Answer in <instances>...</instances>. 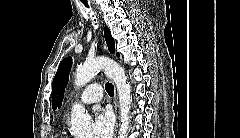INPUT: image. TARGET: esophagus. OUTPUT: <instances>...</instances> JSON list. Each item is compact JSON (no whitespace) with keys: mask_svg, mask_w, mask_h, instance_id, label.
I'll use <instances>...</instances> for the list:
<instances>
[{"mask_svg":"<svg viewBox=\"0 0 240 138\" xmlns=\"http://www.w3.org/2000/svg\"><path fill=\"white\" fill-rule=\"evenodd\" d=\"M100 25L102 26L101 21H100ZM114 110H115V116H116V125H115V135H116L117 125H118V115H117L118 103H117V94H116V90L114 91Z\"/></svg>","mask_w":240,"mask_h":138,"instance_id":"obj_1","label":"esophagus"}]
</instances>
